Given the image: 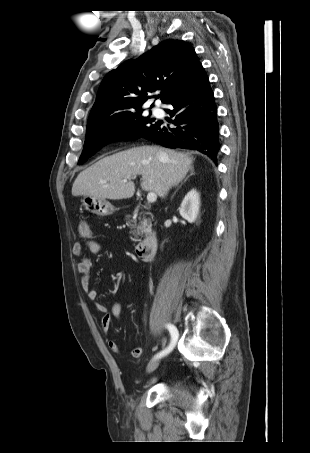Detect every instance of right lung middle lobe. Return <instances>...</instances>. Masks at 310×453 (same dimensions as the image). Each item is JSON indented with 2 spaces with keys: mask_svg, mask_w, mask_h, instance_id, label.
<instances>
[{
  "mask_svg": "<svg viewBox=\"0 0 310 453\" xmlns=\"http://www.w3.org/2000/svg\"><path fill=\"white\" fill-rule=\"evenodd\" d=\"M154 121L149 116H141L139 110L87 128L84 149L78 164L84 163L102 145L114 139H137L143 137L155 126Z\"/></svg>",
  "mask_w": 310,
  "mask_h": 453,
  "instance_id": "right-lung-middle-lobe-1",
  "label": "right lung middle lobe"
}]
</instances>
